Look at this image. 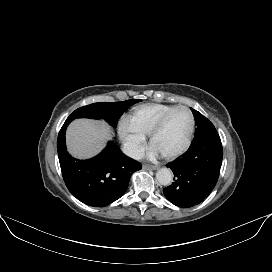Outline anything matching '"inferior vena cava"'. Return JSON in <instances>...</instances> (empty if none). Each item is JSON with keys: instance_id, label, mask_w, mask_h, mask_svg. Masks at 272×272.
I'll list each match as a JSON object with an SVG mask.
<instances>
[{"instance_id": "inferior-vena-cava-1", "label": "inferior vena cava", "mask_w": 272, "mask_h": 272, "mask_svg": "<svg viewBox=\"0 0 272 272\" xmlns=\"http://www.w3.org/2000/svg\"><path fill=\"white\" fill-rule=\"evenodd\" d=\"M122 151L127 156L136 160H140L144 155L143 151L140 149L139 146L130 142L124 143V145L122 146Z\"/></svg>"}]
</instances>
